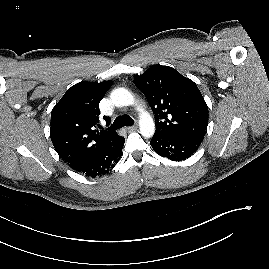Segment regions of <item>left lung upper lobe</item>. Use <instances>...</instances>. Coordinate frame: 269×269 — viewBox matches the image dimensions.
<instances>
[{
    "instance_id": "obj_1",
    "label": "left lung upper lobe",
    "mask_w": 269,
    "mask_h": 269,
    "mask_svg": "<svg viewBox=\"0 0 269 269\" xmlns=\"http://www.w3.org/2000/svg\"><path fill=\"white\" fill-rule=\"evenodd\" d=\"M134 84L146 96L156 119V132L172 137H204L208 107L196 84L169 66L154 65Z\"/></svg>"
}]
</instances>
